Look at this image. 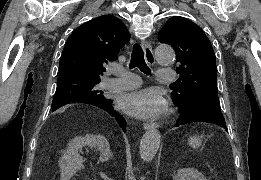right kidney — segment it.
<instances>
[{
    "instance_id": "ca27d5eb",
    "label": "right kidney",
    "mask_w": 261,
    "mask_h": 180,
    "mask_svg": "<svg viewBox=\"0 0 261 180\" xmlns=\"http://www.w3.org/2000/svg\"><path fill=\"white\" fill-rule=\"evenodd\" d=\"M84 146H88V148H93V150L100 152L99 162H107L111 156L109 142H107L104 136H100V134H97V136H95V134L76 136V138H73L72 142H70L67 152H65L59 162L61 180H70V178H72L80 164L78 152H80Z\"/></svg>"
}]
</instances>
